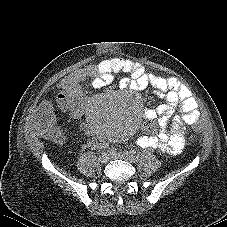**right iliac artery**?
Wrapping results in <instances>:
<instances>
[{
    "label": "right iliac artery",
    "mask_w": 227,
    "mask_h": 227,
    "mask_svg": "<svg viewBox=\"0 0 227 227\" xmlns=\"http://www.w3.org/2000/svg\"><path fill=\"white\" fill-rule=\"evenodd\" d=\"M108 153H110V154H114L115 152H116V149L115 148H113V147H111V148H108Z\"/></svg>",
    "instance_id": "right-iliac-artery-1"
}]
</instances>
